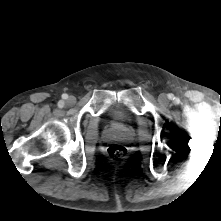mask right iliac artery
Segmentation results:
<instances>
[{"label": "right iliac artery", "instance_id": "82829eb1", "mask_svg": "<svg viewBox=\"0 0 221 221\" xmlns=\"http://www.w3.org/2000/svg\"><path fill=\"white\" fill-rule=\"evenodd\" d=\"M64 98H67V95H65ZM58 106H59L60 108H62V107L64 106V102H63V101H60V102L58 103Z\"/></svg>", "mask_w": 221, "mask_h": 221}]
</instances>
